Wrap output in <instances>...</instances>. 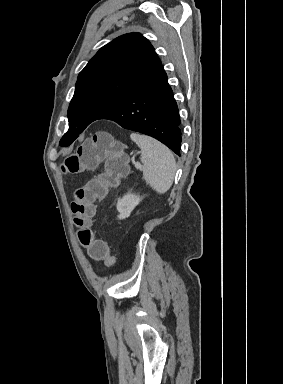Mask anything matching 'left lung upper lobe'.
I'll return each instance as SVG.
<instances>
[{"label": "left lung upper lobe", "mask_w": 283, "mask_h": 384, "mask_svg": "<svg viewBox=\"0 0 283 384\" xmlns=\"http://www.w3.org/2000/svg\"><path fill=\"white\" fill-rule=\"evenodd\" d=\"M160 64L153 46L140 33L124 34L103 46L78 76L68 108L69 130L60 145H70Z\"/></svg>", "instance_id": "1"}]
</instances>
